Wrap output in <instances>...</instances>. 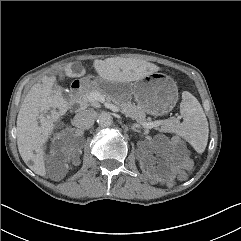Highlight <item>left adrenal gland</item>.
Here are the masks:
<instances>
[{"label":"left adrenal gland","instance_id":"left-adrenal-gland-1","mask_svg":"<svg viewBox=\"0 0 241 241\" xmlns=\"http://www.w3.org/2000/svg\"><path fill=\"white\" fill-rule=\"evenodd\" d=\"M131 129H132L133 131H135V132H139V130L136 128L135 125H133V126L131 127Z\"/></svg>","mask_w":241,"mask_h":241}]
</instances>
